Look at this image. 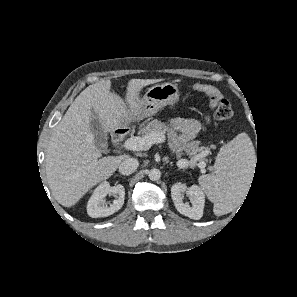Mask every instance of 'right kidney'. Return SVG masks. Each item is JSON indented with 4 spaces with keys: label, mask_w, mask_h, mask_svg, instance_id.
<instances>
[{
    "label": "right kidney",
    "mask_w": 297,
    "mask_h": 297,
    "mask_svg": "<svg viewBox=\"0 0 297 297\" xmlns=\"http://www.w3.org/2000/svg\"><path fill=\"white\" fill-rule=\"evenodd\" d=\"M107 195H118L110 206H103L101 202ZM125 199V189L121 184L110 186L104 181L94 189L87 204V213L92 218L107 217L122 208Z\"/></svg>",
    "instance_id": "1"
}]
</instances>
